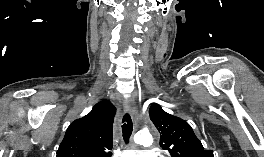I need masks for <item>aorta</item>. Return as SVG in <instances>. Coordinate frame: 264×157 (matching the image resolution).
<instances>
[{"label":"aorta","instance_id":"762f6f07","mask_svg":"<svg viewBox=\"0 0 264 157\" xmlns=\"http://www.w3.org/2000/svg\"><path fill=\"white\" fill-rule=\"evenodd\" d=\"M134 139L137 144L143 146H149L152 143V136L149 133H138Z\"/></svg>","mask_w":264,"mask_h":157}]
</instances>
